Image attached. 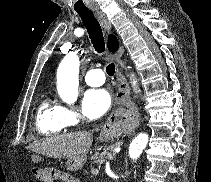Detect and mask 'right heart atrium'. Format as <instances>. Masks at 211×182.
Here are the masks:
<instances>
[{
	"mask_svg": "<svg viewBox=\"0 0 211 182\" xmlns=\"http://www.w3.org/2000/svg\"><path fill=\"white\" fill-rule=\"evenodd\" d=\"M63 113L68 126H75L81 121V114L76 109L63 107Z\"/></svg>",
	"mask_w": 211,
	"mask_h": 182,
	"instance_id": "right-heart-atrium-1",
	"label": "right heart atrium"
}]
</instances>
